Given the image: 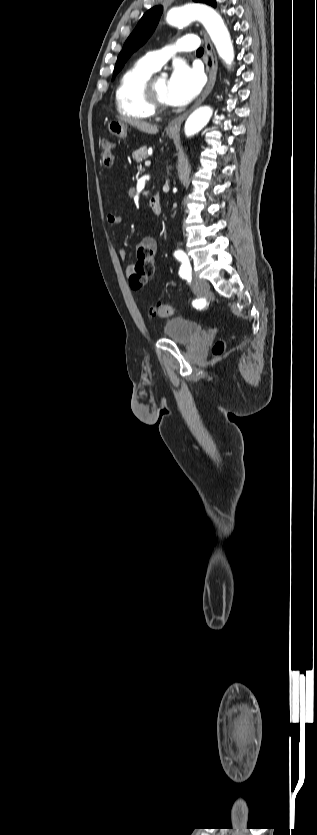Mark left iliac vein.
I'll list each match as a JSON object with an SVG mask.
<instances>
[{"instance_id":"obj_1","label":"left iliac vein","mask_w":317,"mask_h":835,"mask_svg":"<svg viewBox=\"0 0 317 835\" xmlns=\"http://www.w3.org/2000/svg\"><path fill=\"white\" fill-rule=\"evenodd\" d=\"M191 289L195 294L201 296L208 292L209 284L204 279H201L197 275H195L193 276L191 281Z\"/></svg>"}]
</instances>
